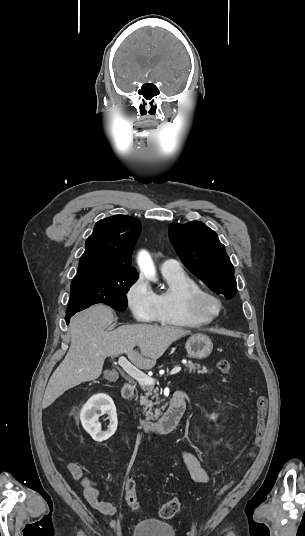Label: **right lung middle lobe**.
Masks as SVG:
<instances>
[{"label": "right lung middle lobe", "instance_id": "right-lung-middle-lobe-1", "mask_svg": "<svg viewBox=\"0 0 305 536\" xmlns=\"http://www.w3.org/2000/svg\"><path fill=\"white\" fill-rule=\"evenodd\" d=\"M137 279L138 276L130 275L75 277L71 283V296L66 313L78 312L97 303H105L124 311L127 308L126 293Z\"/></svg>", "mask_w": 305, "mask_h": 536}]
</instances>
